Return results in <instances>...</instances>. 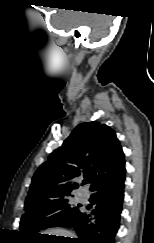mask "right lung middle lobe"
I'll use <instances>...</instances> for the list:
<instances>
[{"label": "right lung middle lobe", "instance_id": "obj_1", "mask_svg": "<svg viewBox=\"0 0 154 243\" xmlns=\"http://www.w3.org/2000/svg\"><path fill=\"white\" fill-rule=\"evenodd\" d=\"M69 196L25 208L20 224V232L24 239L38 236L42 229L59 226L63 220L79 212L81 205L71 202Z\"/></svg>", "mask_w": 154, "mask_h": 243}]
</instances>
